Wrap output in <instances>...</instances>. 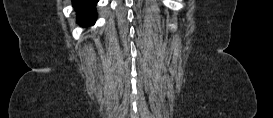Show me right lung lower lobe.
I'll list each match as a JSON object with an SVG mask.
<instances>
[{
  "instance_id": "98d812e1",
  "label": "right lung lower lobe",
  "mask_w": 273,
  "mask_h": 118,
  "mask_svg": "<svg viewBox=\"0 0 273 118\" xmlns=\"http://www.w3.org/2000/svg\"><path fill=\"white\" fill-rule=\"evenodd\" d=\"M97 0H72L73 7L76 10L77 22L81 26H91L97 19L95 6Z\"/></svg>"
}]
</instances>
